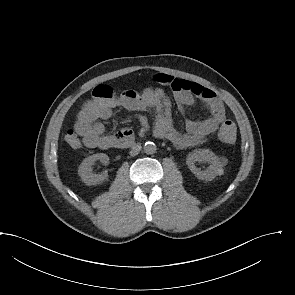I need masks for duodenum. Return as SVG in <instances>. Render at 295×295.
Returning <instances> with one entry per match:
<instances>
[{
	"label": "duodenum",
	"instance_id": "obj_1",
	"mask_svg": "<svg viewBox=\"0 0 295 295\" xmlns=\"http://www.w3.org/2000/svg\"><path fill=\"white\" fill-rule=\"evenodd\" d=\"M137 144V141L132 135H123L115 140L114 146L116 148L131 147Z\"/></svg>",
	"mask_w": 295,
	"mask_h": 295
}]
</instances>
